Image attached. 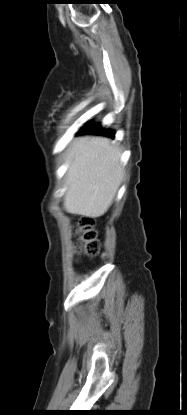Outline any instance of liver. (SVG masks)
<instances>
[{
  "label": "liver",
  "mask_w": 187,
  "mask_h": 415,
  "mask_svg": "<svg viewBox=\"0 0 187 415\" xmlns=\"http://www.w3.org/2000/svg\"><path fill=\"white\" fill-rule=\"evenodd\" d=\"M66 160L65 210L89 218L105 214L124 177L121 150L108 138L86 136L73 141Z\"/></svg>",
  "instance_id": "obj_1"
}]
</instances>
